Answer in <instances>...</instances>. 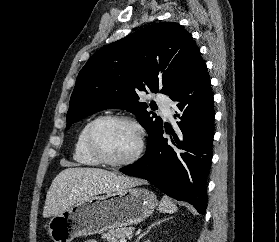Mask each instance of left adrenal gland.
<instances>
[{"label":"left adrenal gland","instance_id":"1","mask_svg":"<svg viewBox=\"0 0 279 242\" xmlns=\"http://www.w3.org/2000/svg\"><path fill=\"white\" fill-rule=\"evenodd\" d=\"M171 218H172V217H170V218H164V219H161V220H159V221H157V222H155V223H152V224L147 228L146 231H144L142 234H140V235L138 236V238L136 239L135 242H139V240H140L143 236H145L153 227H155L156 225H160V223H162V222H164V221H166V220H169V219H171Z\"/></svg>","mask_w":279,"mask_h":242}]
</instances>
